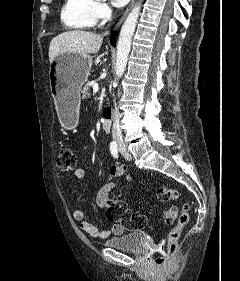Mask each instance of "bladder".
<instances>
[{"instance_id": "31cf9c89", "label": "bladder", "mask_w": 240, "mask_h": 281, "mask_svg": "<svg viewBox=\"0 0 240 281\" xmlns=\"http://www.w3.org/2000/svg\"><path fill=\"white\" fill-rule=\"evenodd\" d=\"M146 235L143 232H131L110 238L105 245L122 251L140 252Z\"/></svg>"}]
</instances>
